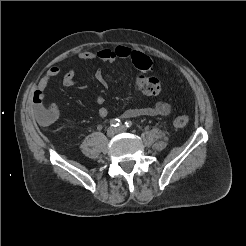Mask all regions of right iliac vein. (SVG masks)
Masks as SVG:
<instances>
[{"label": "right iliac vein", "instance_id": "obj_1", "mask_svg": "<svg viewBox=\"0 0 246 246\" xmlns=\"http://www.w3.org/2000/svg\"><path fill=\"white\" fill-rule=\"evenodd\" d=\"M117 133V129L113 127H109L107 130L108 137H113Z\"/></svg>", "mask_w": 246, "mask_h": 246}]
</instances>
